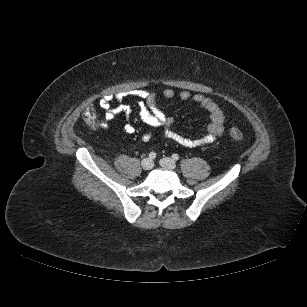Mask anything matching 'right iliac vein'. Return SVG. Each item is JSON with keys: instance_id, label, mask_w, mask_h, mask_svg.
Returning a JSON list of instances; mask_svg holds the SVG:
<instances>
[{"instance_id": "63e3f726", "label": "right iliac vein", "mask_w": 307, "mask_h": 307, "mask_svg": "<svg viewBox=\"0 0 307 307\" xmlns=\"http://www.w3.org/2000/svg\"><path fill=\"white\" fill-rule=\"evenodd\" d=\"M141 166L144 170H151L154 166L153 161L149 158H145L141 162Z\"/></svg>"}]
</instances>
